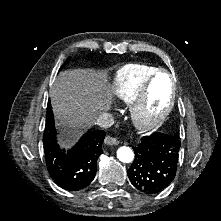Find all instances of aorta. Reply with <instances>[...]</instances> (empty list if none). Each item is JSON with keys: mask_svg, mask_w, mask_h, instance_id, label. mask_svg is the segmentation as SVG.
<instances>
[{"mask_svg": "<svg viewBox=\"0 0 221 221\" xmlns=\"http://www.w3.org/2000/svg\"><path fill=\"white\" fill-rule=\"evenodd\" d=\"M117 158L124 163H130L134 159V153L131 148L123 146L117 150Z\"/></svg>", "mask_w": 221, "mask_h": 221, "instance_id": "aorta-1", "label": "aorta"}]
</instances>
